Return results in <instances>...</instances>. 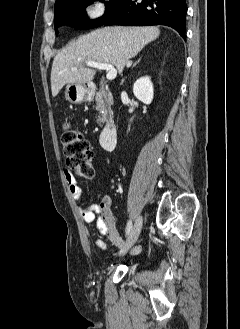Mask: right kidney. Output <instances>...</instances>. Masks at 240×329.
Here are the masks:
<instances>
[{
  "label": "right kidney",
  "instance_id": "1",
  "mask_svg": "<svg viewBox=\"0 0 240 329\" xmlns=\"http://www.w3.org/2000/svg\"><path fill=\"white\" fill-rule=\"evenodd\" d=\"M135 97L145 104H150L153 100V84L148 76L139 78L133 85Z\"/></svg>",
  "mask_w": 240,
  "mask_h": 329
}]
</instances>
